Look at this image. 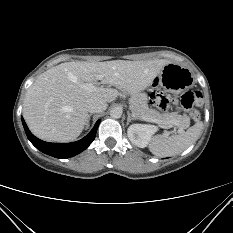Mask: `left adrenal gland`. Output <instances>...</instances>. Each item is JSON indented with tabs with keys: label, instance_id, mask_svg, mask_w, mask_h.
<instances>
[{
	"label": "left adrenal gland",
	"instance_id": "left-adrenal-gland-1",
	"mask_svg": "<svg viewBox=\"0 0 233 233\" xmlns=\"http://www.w3.org/2000/svg\"><path fill=\"white\" fill-rule=\"evenodd\" d=\"M127 115H128V118H127V125L129 124V122L131 121V120H136L132 115H131V113L128 111L127 112Z\"/></svg>",
	"mask_w": 233,
	"mask_h": 233
}]
</instances>
